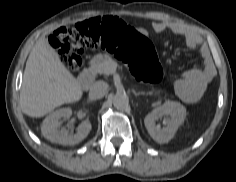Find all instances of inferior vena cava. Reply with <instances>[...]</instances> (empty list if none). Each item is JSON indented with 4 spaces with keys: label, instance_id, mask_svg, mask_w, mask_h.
I'll use <instances>...</instances> for the list:
<instances>
[{
    "label": "inferior vena cava",
    "instance_id": "602c4592",
    "mask_svg": "<svg viewBox=\"0 0 236 182\" xmlns=\"http://www.w3.org/2000/svg\"><path fill=\"white\" fill-rule=\"evenodd\" d=\"M107 91V85L104 81H96L90 88L89 95L94 99L104 97Z\"/></svg>",
    "mask_w": 236,
    "mask_h": 182
}]
</instances>
